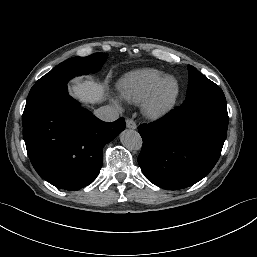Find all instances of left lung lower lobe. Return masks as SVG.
I'll use <instances>...</instances> for the list:
<instances>
[{
	"label": "left lung lower lobe",
	"mask_w": 257,
	"mask_h": 257,
	"mask_svg": "<svg viewBox=\"0 0 257 257\" xmlns=\"http://www.w3.org/2000/svg\"><path fill=\"white\" fill-rule=\"evenodd\" d=\"M227 127L226 99L184 102L158 121L140 125L142 172L169 190L197 183L219 159Z\"/></svg>",
	"instance_id": "0a47b994"
}]
</instances>
